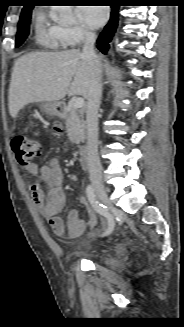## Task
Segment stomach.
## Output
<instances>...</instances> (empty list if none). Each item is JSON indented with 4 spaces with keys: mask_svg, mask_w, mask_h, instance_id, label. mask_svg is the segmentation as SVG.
<instances>
[{
    "mask_svg": "<svg viewBox=\"0 0 184 327\" xmlns=\"http://www.w3.org/2000/svg\"><path fill=\"white\" fill-rule=\"evenodd\" d=\"M42 108H43L44 112L50 116H58L60 114L59 103H57V102L43 103Z\"/></svg>",
    "mask_w": 184,
    "mask_h": 327,
    "instance_id": "obj_1",
    "label": "stomach"
}]
</instances>
